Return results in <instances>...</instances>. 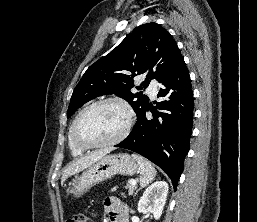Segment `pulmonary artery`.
Instances as JSON below:
<instances>
[{"label":"pulmonary artery","instance_id":"e3ab8cb5","mask_svg":"<svg viewBox=\"0 0 257 222\" xmlns=\"http://www.w3.org/2000/svg\"><path fill=\"white\" fill-rule=\"evenodd\" d=\"M157 82L156 81H151L148 88H147V92L152 96L155 97L157 94Z\"/></svg>","mask_w":257,"mask_h":222}]
</instances>
